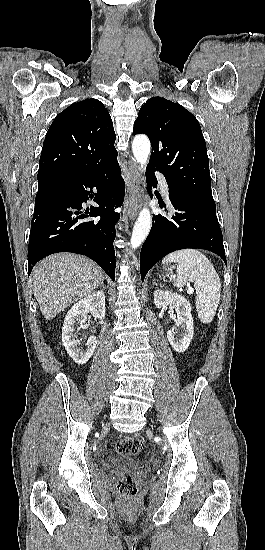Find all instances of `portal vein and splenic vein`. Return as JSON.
Wrapping results in <instances>:
<instances>
[{
    "instance_id": "portal-vein-and-splenic-vein-1",
    "label": "portal vein and splenic vein",
    "mask_w": 265,
    "mask_h": 550,
    "mask_svg": "<svg viewBox=\"0 0 265 550\" xmlns=\"http://www.w3.org/2000/svg\"><path fill=\"white\" fill-rule=\"evenodd\" d=\"M188 292H190V293H191V292H193V290H192V289H190V290H189Z\"/></svg>"
}]
</instances>
